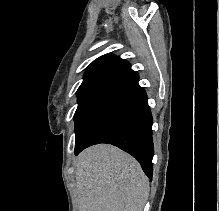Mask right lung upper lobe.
I'll list each match as a JSON object with an SVG mask.
<instances>
[{
  "instance_id": "cb5924a9",
  "label": "right lung upper lobe",
  "mask_w": 219,
  "mask_h": 211,
  "mask_svg": "<svg viewBox=\"0 0 219 211\" xmlns=\"http://www.w3.org/2000/svg\"><path fill=\"white\" fill-rule=\"evenodd\" d=\"M134 73L136 72L127 61L111 54L103 55L88 66L77 95L96 90H111Z\"/></svg>"
}]
</instances>
